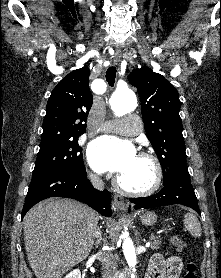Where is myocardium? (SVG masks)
<instances>
[{"label":"myocardium","mask_w":221,"mask_h":278,"mask_svg":"<svg viewBox=\"0 0 221 278\" xmlns=\"http://www.w3.org/2000/svg\"><path fill=\"white\" fill-rule=\"evenodd\" d=\"M139 157H143L148 159L154 167L155 177L153 180V183L146 189L142 190H135L130 189L126 187L121 180L119 179V176L114 179V186L118 191L121 193L128 195V196H150L157 192L162 184L163 181V168L161 165L160 160L152 153L147 151H140L138 153Z\"/></svg>","instance_id":"1"}]
</instances>
